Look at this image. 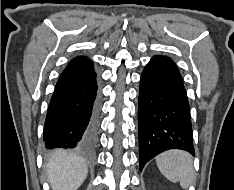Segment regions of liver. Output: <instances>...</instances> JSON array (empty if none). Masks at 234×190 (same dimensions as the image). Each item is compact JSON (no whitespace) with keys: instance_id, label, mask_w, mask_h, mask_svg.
I'll return each instance as SVG.
<instances>
[{"instance_id":"1","label":"liver","mask_w":234,"mask_h":190,"mask_svg":"<svg viewBox=\"0 0 234 190\" xmlns=\"http://www.w3.org/2000/svg\"><path fill=\"white\" fill-rule=\"evenodd\" d=\"M52 190H77L88 174L85 160L63 151H57L46 165Z\"/></svg>"}]
</instances>
